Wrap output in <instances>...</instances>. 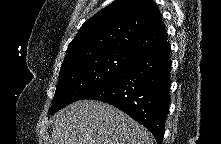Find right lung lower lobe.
<instances>
[{
    "instance_id": "1",
    "label": "right lung lower lobe",
    "mask_w": 221,
    "mask_h": 144,
    "mask_svg": "<svg viewBox=\"0 0 221 144\" xmlns=\"http://www.w3.org/2000/svg\"><path fill=\"white\" fill-rule=\"evenodd\" d=\"M170 44L145 51L109 82L82 99L109 103L146 127L162 143L170 104Z\"/></svg>"
}]
</instances>
